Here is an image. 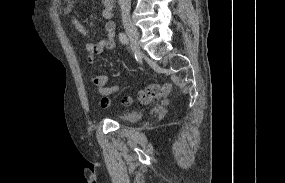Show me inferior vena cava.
I'll return each mask as SVG.
<instances>
[{"instance_id":"inferior-vena-cava-1","label":"inferior vena cava","mask_w":285,"mask_h":183,"mask_svg":"<svg viewBox=\"0 0 285 183\" xmlns=\"http://www.w3.org/2000/svg\"><path fill=\"white\" fill-rule=\"evenodd\" d=\"M118 4L120 6L122 16L128 17L130 13L131 0H118Z\"/></svg>"}]
</instances>
